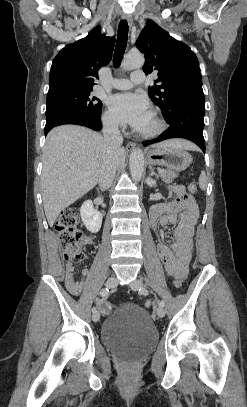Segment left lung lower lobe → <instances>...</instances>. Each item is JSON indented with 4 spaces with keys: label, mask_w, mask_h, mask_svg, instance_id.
I'll list each match as a JSON object with an SVG mask.
<instances>
[{
    "label": "left lung lower lobe",
    "mask_w": 247,
    "mask_h": 407,
    "mask_svg": "<svg viewBox=\"0 0 247 407\" xmlns=\"http://www.w3.org/2000/svg\"><path fill=\"white\" fill-rule=\"evenodd\" d=\"M205 107L184 105L171 112L166 122L170 125L167 131L154 140L144 142V146L170 138H185L197 144L205 153L203 137Z\"/></svg>",
    "instance_id": "left-lung-lower-lobe-1"
}]
</instances>
